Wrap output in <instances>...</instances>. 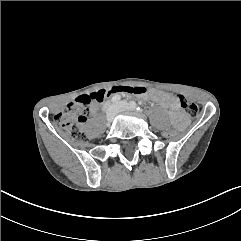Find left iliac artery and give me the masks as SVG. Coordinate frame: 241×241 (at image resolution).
Instances as JSON below:
<instances>
[{
	"instance_id": "obj_1",
	"label": "left iliac artery",
	"mask_w": 241,
	"mask_h": 241,
	"mask_svg": "<svg viewBox=\"0 0 241 241\" xmlns=\"http://www.w3.org/2000/svg\"><path fill=\"white\" fill-rule=\"evenodd\" d=\"M129 105L137 111H141V108L134 101H130Z\"/></svg>"
}]
</instances>
